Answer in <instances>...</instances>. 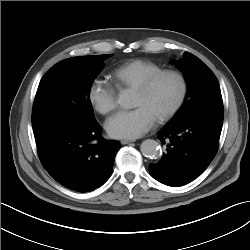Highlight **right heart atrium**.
Segmentation results:
<instances>
[{"instance_id":"d8ad5b80","label":"right heart atrium","mask_w":250,"mask_h":250,"mask_svg":"<svg viewBox=\"0 0 250 250\" xmlns=\"http://www.w3.org/2000/svg\"><path fill=\"white\" fill-rule=\"evenodd\" d=\"M88 99L93 108L104 115L112 112L117 104L115 88L103 79H94L91 82Z\"/></svg>"}]
</instances>
